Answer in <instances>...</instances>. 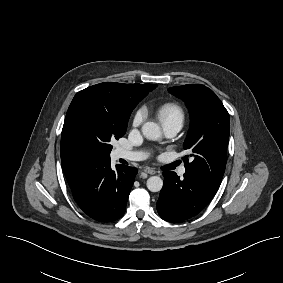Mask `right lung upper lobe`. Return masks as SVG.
<instances>
[{"label": "right lung upper lobe", "mask_w": 283, "mask_h": 283, "mask_svg": "<svg viewBox=\"0 0 283 283\" xmlns=\"http://www.w3.org/2000/svg\"><path fill=\"white\" fill-rule=\"evenodd\" d=\"M95 86L102 87L107 90H114L132 99L140 101L148 94V92L155 88V84H121L114 82H104ZM60 153L62 169L71 188L76 184L87 165L93 161L94 158L89 157L74 147L69 142L63 131Z\"/></svg>", "instance_id": "cb5924a9"}]
</instances>
